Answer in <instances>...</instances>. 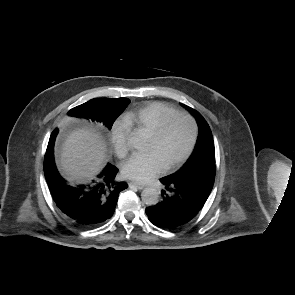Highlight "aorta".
<instances>
[{"label":"aorta","instance_id":"762f6f07","mask_svg":"<svg viewBox=\"0 0 295 295\" xmlns=\"http://www.w3.org/2000/svg\"><path fill=\"white\" fill-rule=\"evenodd\" d=\"M129 145L135 149H141L144 146V139L139 134H134L129 139ZM142 201L149 206L155 205L159 201V192L155 188H145L141 193Z\"/></svg>","mask_w":295,"mask_h":295}]
</instances>
